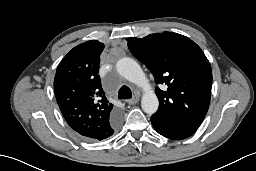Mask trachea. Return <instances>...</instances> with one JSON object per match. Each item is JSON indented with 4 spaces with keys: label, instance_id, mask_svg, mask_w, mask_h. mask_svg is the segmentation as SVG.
Instances as JSON below:
<instances>
[{
    "label": "trachea",
    "instance_id": "1",
    "mask_svg": "<svg viewBox=\"0 0 256 171\" xmlns=\"http://www.w3.org/2000/svg\"><path fill=\"white\" fill-rule=\"evenodd\" d=\"M132 98V92L129 87L122 86L118 92V99H130Z\"/></svg>",
    "mask_w": 256,
    "mask_h": 171
}]
</instances>
